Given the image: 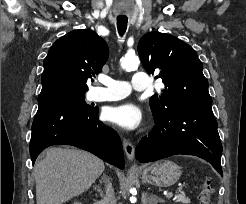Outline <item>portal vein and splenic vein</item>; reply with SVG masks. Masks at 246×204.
Masks as SVG:
<instances>
[{
  "label": "portal vein and splenic vein",
  "mask_w": 246,
  "mask_h": 204,
  "mask_svg": "<svg viewBox=\"0 0 246 204\" xmlns=\"http://www.w3.org/2000/svg\"><path fill=\"white\" fill-rule=\"evenodd\" d=\"M171 196H173V194H172V193H169V194H168V197H171Z\"/></svg>",
  "instance_id": "18ae733b"
}]
</instances>
